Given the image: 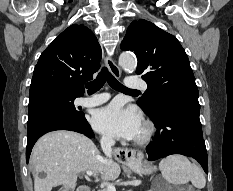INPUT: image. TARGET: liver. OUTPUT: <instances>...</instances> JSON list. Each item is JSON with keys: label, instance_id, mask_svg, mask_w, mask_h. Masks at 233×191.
Masks as SVG:
<instances>
[{"label": "liver", "instance_id": "1", "mask_svg": "<svg viewBox=\"0 0 233 191\" xmlns=\"http://www.w3.org/2000/svg\"><path fill=\"white\" fill-rule=\"evenodd\" d=\"M95 144L83 134L56 130L42 136L35 144L31 163L36 174L34 191H51L63 185L73 189L80 172L90 170L100 173L105 180L118 178L121 169L118 163L105 164ZM45 172V178L38 174Z\"/></svg>", "mask_w": 233, "mask_h": 191}]
</instances>
